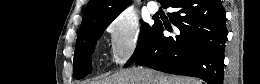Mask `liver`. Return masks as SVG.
<instances>
[{
	"label": "liver",
	"mask_w": 260,
	"mask_h": 84,
	"mask_svg": "<svg viewBox=\"0 0 260 84\" xmlns=\"http://www.w3.org/2000/svg\"><path fill=\"white\" fill-rule=\"evenodd\" d=\"M87 84H202L193 77L166 75L152 69L134 67L121 70L103 80Z\"/></svg>",
	"instance_id": "6515ba94"
}]
</instances>
